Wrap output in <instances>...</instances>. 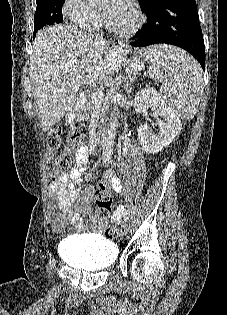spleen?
<instances>
[{
  "instance_id": "3e777b00",
  "label": "spleen",
  "mask_w": 227,
  "mask_h": 315,
  "mask_svg": "<svg viewBox=\"0 0 227 315\" xmlns=\"http://www.w3.org/2000/svg\"><path fill=\"white\" fill-rule=\"evenodd\" d=\"M153 72L163 82L161 95L182 119H192L203 93L200 65L172 46H153L143 50Z\"/></svg>"
}]
</instances>
